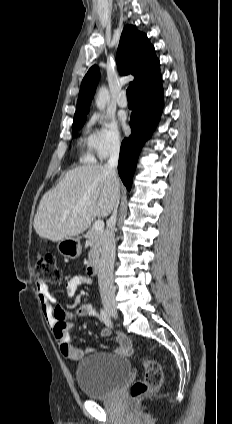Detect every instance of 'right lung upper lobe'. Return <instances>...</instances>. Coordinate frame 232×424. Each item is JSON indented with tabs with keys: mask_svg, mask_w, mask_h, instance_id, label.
<instances>
[{
	"mask_svg": "<svg viewBox=\"0 0 232 424\" xmlns=\"http://www.w3.org/2000/svg\"><path fill=\"white\" fill-rule=\"evenodd\" d=\"M159 59L146 34L133 25H126L122 31L118 51L117 66L122 75L132 74L136 92L151 86L160 76ZM100 77L97 66L89 69L85 75L78 96L74 121L86 118L92 97Z\"/></svg>",
	"mask_w": 232,
	"mask_h": 424,
	"instance_id": "cb5924a9",
	"label": "right lung upper lobe"
}]
</instances>
